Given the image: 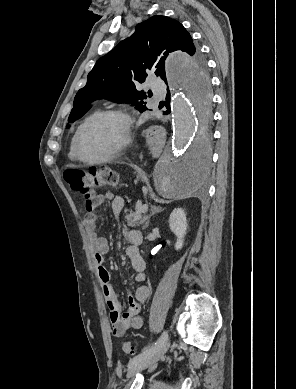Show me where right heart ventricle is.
Masks as SVG:
<instances>
[{
	"instance_id": "e07e8e85",
	"label": "right heart ventricle",
	"mask_w": 296,
	"mask_h": 389,
	"mask_svg": "<svg viewBox=\"0 0 296 389\" xmlns=\"http://www.w3.org/2000/svg\"><path fill=\"white\" fill-rule=\"evenodd\" d=\"M75 136H76V134H75V135L73 136V138H72V141H71V144H70V149H69V157H70V159H72V160H77V159H78V158L76 157L75 149H74Z\"/></svg>"
}]
</instances>
